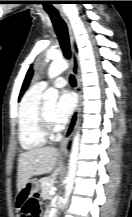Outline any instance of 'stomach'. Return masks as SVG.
Returning a JSON list of instances; mask_svg holds the SVG:
<instances>
[{"mask_svg":"<svg viewBox=\"0 0 132 217\" xmlns=\"http://www.w3.org/2000/svg\"><path fill=\"white\" fill-rule=\"evenodd\" d=\"M40 183L36 180H29L23 189H28L29 196L39 191Z\"/></svg>","mask_w":132,"mask_h":217,"instance_id":"1","label":"stomach"}]
</instances>
